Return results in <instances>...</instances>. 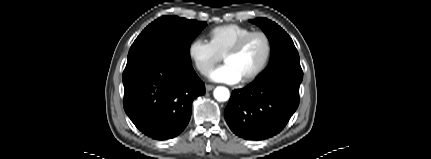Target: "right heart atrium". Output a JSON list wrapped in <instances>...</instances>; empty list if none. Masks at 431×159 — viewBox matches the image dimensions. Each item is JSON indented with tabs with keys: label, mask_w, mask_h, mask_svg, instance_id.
<instances>
[{
	"label": "right heart atrium",
	"mask_w": 431,
	"mask_h": 159,
	"mask_svg": "<svg viewBox=\"0 0 431 159\" xmlns=\"http://www.w3.org/2000/svg\"><path fill=\"white\" fill-rule=\"evenodd\" d=\"M187 53L196 70L208 76L213 67L221 60L210 42L202 38H194L188 45Z\"/></svg>",
	"instance_id": "1"
}]
</instances>
